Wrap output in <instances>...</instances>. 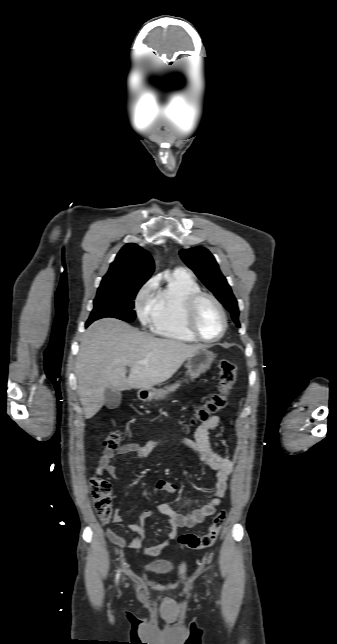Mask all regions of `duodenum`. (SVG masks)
<instances>
[{"label":"duodenum","mask_w":337,"mask_h":644,"mask_svg":"<svg viewBox=\"0 0 337 644\" xmlns=\"http://www.w3.org/2000/svg\"><path fill=\"white\" fill-rule=\"evenodd\" d=\"M139 398L144 399L145 398L144 394L143 393L139 394Z\"/></svg>","instance_id":"obj_1"}]
</instances>
